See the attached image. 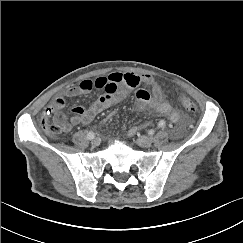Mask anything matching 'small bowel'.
<instances>
[{"label": "small bowel", "instance_id": "obj_1", "mask_svg": "<svg viewBox=\"0 0 243 243\" xmlns=\"http://www.w3.org/2000/svg\"><path fill=\"white\" fill-rule=\"evenodd\" d=\"M150 86L151 93L139 89L135 92V99L140 107L151 103L154 110L165 114L173 123L180 120V115L173 107L162 100V90L159 84L151 75L138 76L134 73H111L107 76H100L95 79H83L77 85L67 88L61 95L57 96L46 108L44 114L53 113L61 109L65 104V97H77L90 93L97 89L102 91L99 98L90 106L76 105L71 108L73 116L69 123H65L66 131L72 126L88 125L102 111L121 103L131 90L136 88L139 83ZM138 128L133 126L128 129V135L134 136Z\"/></svg>", "mask_w": 243, "mask_h": 243}]
</instances>
